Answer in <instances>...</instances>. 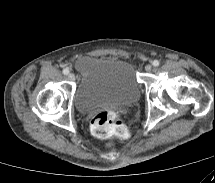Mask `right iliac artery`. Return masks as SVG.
I'll use <instances>...</instances> for the list:
<instances>
[{
    "mask_svg": "<svg viewBox=\"0 0 215 183\" xmlns=\"http://www.w3.org/2000/svg\"><path fill=\"white\" fill-rule=\"evenodd\" d=\"M69 73V70L67 68L63 69V74L67 75Z\"/></svg>",
    "mask_w": 215,
    "mask_h": 183,
    "instance_id": "obj_1",
    "label": "right iliac artery"
}]
</instances>
